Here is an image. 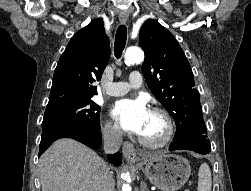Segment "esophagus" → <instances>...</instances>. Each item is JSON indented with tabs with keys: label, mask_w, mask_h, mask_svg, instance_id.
<instances>
[{
	"label": "esophagus",
	"mask_w": 251,
	"mask_h": 191,
	"mask_svg": "<svg viewBox=\"0 0 251 191\" xmlns=\"http://www.w3.org/2000/svg\"><path fill=\"white\" fill-rule=\"evenodd\" d=\"M129 18V14L125 11L120 12L119 20L120 23H126ZM122 151L125 158L131 163L134 164L138 158L135 152V147L130 141H124L122 146Z\"/></svg>",
	"instance_id": "esophagus-1"
}]
</instances>
